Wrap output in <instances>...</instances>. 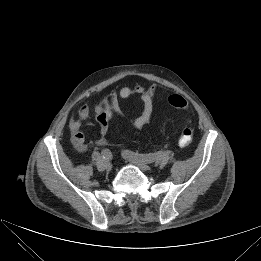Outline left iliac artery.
I'll list each match as a JSON object with an SVG mask.
<instances>
[{
  "label": "left iliac artery",
  "mask_w": 261,
  "mask_h": 261,
  "mask_svg": "<svg viewBox=\"0 0 261 261\" xmlns=\"http://www.w3.org/2000/svg\"><path fill=\"white\" fill-rule=\"evenodd\" d=\"M125 153L132 158H138V159H141V160H143L147 163L153 162L156 158L155 154H139V153H135V152H132V151H129V150H126Z\"/></svg>",
  "instance_id": "left-iliac-artery-1"
}]
</instances>
